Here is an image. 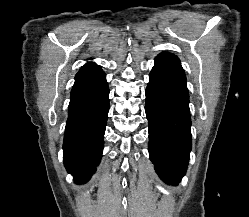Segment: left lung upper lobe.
Here are the masks:
<instances>
[{"mask_svg":"<svg viewBox=\"0 0 249 217\" xmlns=\"http://www.w3.org/2000/svg\"><path fill=\"white\" fill-rule=\"evenodd\" d=\"M159 55H171L173 57H176L175 55L171 54V53H168V52H162L160 53ZM177 58V57H176Z\"/></svg>","mask_w":249,"mask_h":217,"instance_id":"left-lung-upper-lobe-1","label":"left lung upper lobe"}]
</instances>
